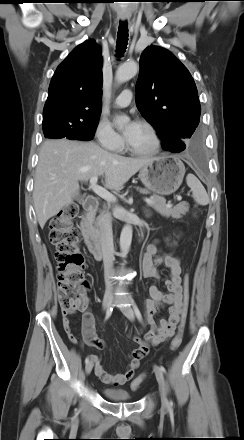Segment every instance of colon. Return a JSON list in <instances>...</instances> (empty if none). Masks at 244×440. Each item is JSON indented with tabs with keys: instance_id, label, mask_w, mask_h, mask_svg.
<instances>
[{
	"instance_id": "colon-1",
	"label": "colon",
	"mask_w": 244,
	"mask_h": 440,
	"mask_svg": "<svg viewBox=\"0 0 244 440\" xmlns=\"http://www.w3.org/2000/svg\"><path fill=\"white\" fill-rule=\"evenodd\" d=\"M79 212L76 203H70L50 221L49 240L56 247L55 259L58 269V301L64 317L82 311L87 307L88 283L84 277L85 255L79 246L80 236L74 227V220ZM191 283L188 270L183 277V298L181 304V323L177 335L173 338L170 349L176 350L182 342V331L188 313ZM148 349L139 347L137 354L144 357ZM145 374L138 375L131 383L137 389L145 379Z\"/></svg>"
}]
</instances>
